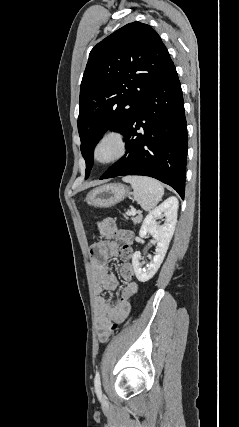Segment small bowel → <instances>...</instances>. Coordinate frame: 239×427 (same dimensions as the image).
<instances>
[{"label":"small bowel","instance_id":"c3829d8e","mask_svg":"<svg viewBox=\"0 0 239 427\" xmlns=\"http://www.w3.org/2000/svg\"><path fill=\"white\" fill-rule=\"evenodd\" d=\"M101 230L106 240L93 244L90 248V256L95 290L98 293L95 299L97 329L100 340L106 341L112 331V325L122 323L129 315L131 298L138 292L139 287L137 282L133 281V273L131 281L126 282V297L113 301L100 295L103 291H114L118 287V279L109 269V260L118 254L123 258L125 252L133 253L131 231L118 229L112 219H105L101 224ZM118 235H126L130 246L124 248L125 244H118L115 240ZM124 288L122 290H125Z\"/></svg>","mask_w":239,"mask_h":427}]
</instances>
